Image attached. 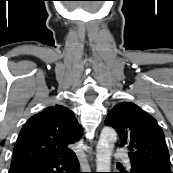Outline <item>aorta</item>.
Listing matches in <instances>:
<instances>
[{"mask_svg":"<svg viewBox=\"0 0 173 173\" xmlns=\"http://www.w3.org/2000/svg\"><path fill=\"white\" fill-rule=\"evenodd\" d=\"M117 140V133L113 128L104 127L96 149V171L110 172L111 156Z\"/></svg>","mask_w":173,"mask_h":173,"instance_id":"aorta-1","label":"aorta"}]
</instances>
